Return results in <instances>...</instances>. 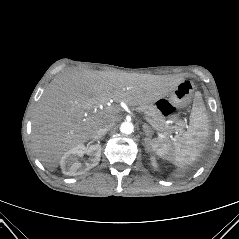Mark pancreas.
Here are the masks:
<instances>
[{"mask_svg":"<svg viewBox=\"0 0 239 239\" xmlns=\"http://www.w3.org/2000/svg\"><path fill=\"white\" fill-rule=\"evenodd\" d=\"M143 112L151 118L155 128L163 130H167L169 128L168 126L164 125L165 119L162 113L154 106H149L148 108L144 109Z\"/></svg>","mask_w":239,"mask_h":239,"instance_id":"pancreas-1","label":"pancreas"}]
</instances>
